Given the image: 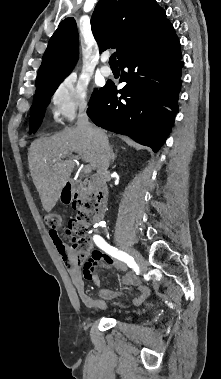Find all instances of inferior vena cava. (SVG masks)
I'll return each instance as SVG.
<instances>
[{"label": "inferior vena cava", "mask_w": 221, "mask_h": 379, "mask_svg": "<svg viewBox=\"0 0 221 379\" xmlns=\"http://www.w3.org/2000/svg\"><path fill=\"white\" fill-rule=\"evenodd\" d=\"M77 127L85 130L88 134L92 135L99 144L98 159H97V175L103 177L107 174L111 159V151L109 142L104 132L94 127L89 122V117L86 113V109H82L79 113L77 120Z\"/></svg>", "instance_id": "1"}]
</instances>
